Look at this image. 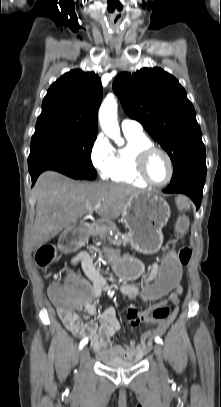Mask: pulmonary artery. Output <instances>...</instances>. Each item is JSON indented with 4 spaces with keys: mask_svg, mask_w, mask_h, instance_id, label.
Returning a JSON list of instances; mask_svg holds the SVG:
<instances>
[{
    "mask_svg": "<svg viewBox=\"0 0 221 407\" xmlns=\"http://www.w3.org/2000/svg\"><path fill=\"white\" fill-rule=\"evenodd\" d=\"M123 132L143 133L142 125L133 119H124L121 123Z\"/></svg>",
    "mask_w": 221,
    "mask_h": 407,
    "instance_id": "pulmonary-artery-1",
    "label": "pulmonary artery"
}]
</instances>
